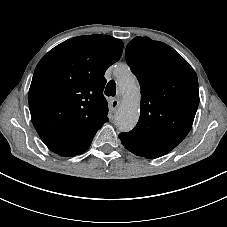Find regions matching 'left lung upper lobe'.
I'll return each mask as SVG.
<instances>
[{"label": "left lung upper lobe", "mask_w": 227, "mask_h": 227, "mask_svg": "<svg viewBox=\"0 0 227 227\" xmlns=\"http://www.w3.org/2000/svg\"><path fill=\"white\" fill-rule=\"evenodd\" d=\"M125 58L141 88L136 127L119 134L121 141L165 155L190 131L199 105L197 75L173 48L148 37H136Z\"/></svg>", "instance_id": "left-lung-upper-lobe-1"}]
</instances>
